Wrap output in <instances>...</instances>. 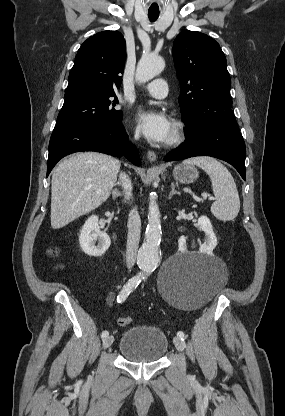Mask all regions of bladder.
I'll return each mask as SVG.
<instances>
[{"mask_svg":"<svg viewBox=\"0 0 285 416\" xmlns=\"http://www.w3.org/2000/svg\"><path fill=\"white\" fill-rule=\"evenodd\" d=\"M118 349L126 360L141 363L157 362L168 351V337L154 325H136L123 333Z\"/></svg>","mask_w":285,"mask_h":416,"instance_id":"obj_1","label":"bladder"}]
</instances>
